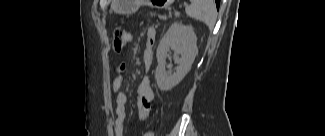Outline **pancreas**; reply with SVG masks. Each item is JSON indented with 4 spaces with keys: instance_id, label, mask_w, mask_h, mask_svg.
I'll return each instance as SVG.
<instances>
[{
    "instance_id": "obj_1",
    "label": "pancreas",
    "mask_w": 325,
    "mask_h": 136,
    "mask_svg": "<svg viewBox=\"0 0 325 136\" xmlns=\"http://www.w3.org/2000/svg\"><path fill=\"white\" fill-rule=\"evenodd\" d=\"M159 24H166L167 19H173L174 16H170L169 12H156L153 15Z\"/></svg>"
}]
</instances>
